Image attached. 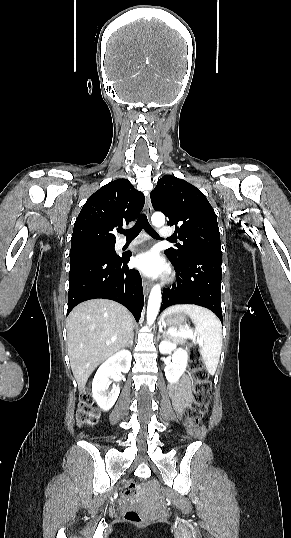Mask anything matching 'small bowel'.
<instances>
[{
	"label": "small bowel",
	"mask_w": 291,
	"mask_h": 538,
	"mask_svg": "<svg viewBox=\"0 0 291 538\" xmlns=\"http://www.w3.org/2000/svg\"><path fill=\"white\" fill-rule=\"evenodd\" d=\"M192 381L188 377H183L180 384L173 388V397L178 403L186 402L190 397Z\"/></svg>",
	"instance_id": "1"
}]
</instances>
